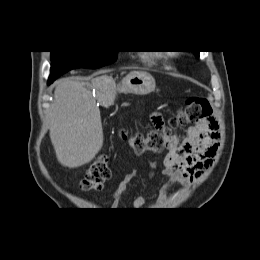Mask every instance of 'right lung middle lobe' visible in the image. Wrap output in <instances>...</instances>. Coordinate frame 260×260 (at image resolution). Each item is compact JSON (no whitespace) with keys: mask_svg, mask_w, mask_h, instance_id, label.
Returning <instances> with one entry per match:
<instances>
[{"mask_svg":"<svg viewBox=\"0 0 260 260\" xmlns=\"http://www.w3.org/2000/svg\"><path fill=\"white\" fill-rule=\"evenodd\" d=\"M117 51H51V74L48 82L74 68H97L113 63Z\"/></svg>","mask_w":260,"mask_h":260,"instance_id":"obj_1","label":"right lung middle lobe"}]
</instances>
